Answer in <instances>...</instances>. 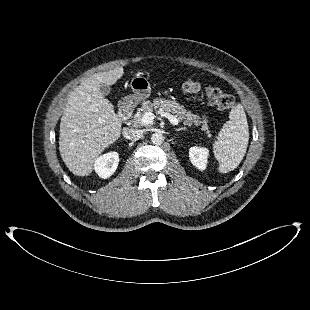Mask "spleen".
<instances>
[{
	"mask_svg": "<svg viewBox=\"0 0 310 310\" xmlns=\"http://www.w3.org/2000/svg\"><path fill=\"white\" fill-rule=\"evenodd\" d=\"M229 119L213 143V152L219 161L218 170L221 173L237 168L246 153L249 141L247 118L241 104L233 107Z\"/></svg>",
	"mask_w": 310,
	"mask_h": 310,
	"instance_id": "1",
	"label": "spleen"
}]
</instances>
